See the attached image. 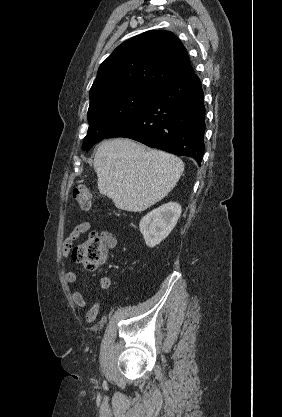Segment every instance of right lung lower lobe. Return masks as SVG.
Segmentation results:
<instances>
[{
    "instance_id": "1",
    "label": "right lung lower lobe",
    "mask_w": 282,
    "mask_h": 417,
    "mask_svg": "<svg viewBox=\"0 0 282 417\" xmlns=\"http://www.w3.org/2000/svg\"><path fill=\"white\" fill-rule=\"evenodd\" d=\"M204 132L203 91L193 73L161 88L143 108L105 138H131L152 148L193 157L200 164Z\"/></svg>"
}]
</instances>
